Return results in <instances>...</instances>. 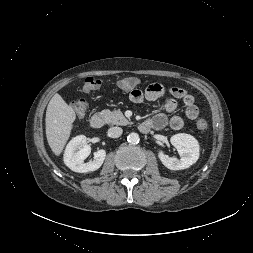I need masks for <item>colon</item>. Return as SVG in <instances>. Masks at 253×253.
I'll return each mask as SVG.
<instances>
[{
    "label": "colon",
    "instance_id": "colon-1",
    "mask_svg": "<svg viewBox=\"0 0 253 253\" xmlns=\"http://www.w3.org/2000/svg\"><path fill=\"white\" fill-rule=\"evenodd\" d=\"M139 84H140V80L134 76H128V77L122 78L117 82V86L124 91H132L134 89H137ZM101 86H102V81L100 79L95 78V77H87L84 80L82 91L91 92V91L99 89ZM72 108L77 114V116L81 117L86 113L88 104L85 100L80 99L72 103ZM195 125L198 130H201V131L206 130L208 128V120L205 117H199L196 120Z\"/></svg>",
    "mask_w": 253,
    "mask_h": 253
}]
</instances>
